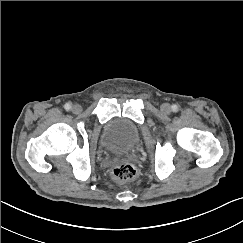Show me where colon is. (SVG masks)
<instances>
[{"instance_id": "colon-1", "label": "colon", "mask_w": 243, "mask_h": 243, "mask_svg": "<svg viewBox=\"0 0 243 243\" xmlns=\"http://www.w3.org/2000/svg\"><path fill=\"white\" fill-rule=\"evenodd\" d=\"M111 175L118 181H132L137 177V169L129 163H118L111 168Z\"/></svg>"}]
</instances>
